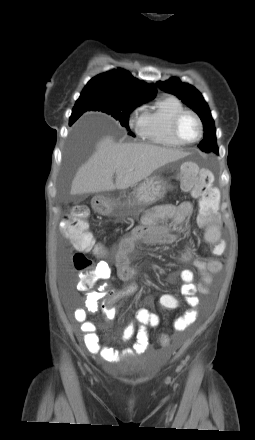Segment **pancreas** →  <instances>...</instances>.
<instances>
[{"instance_id": "pancreas-1", "label": "pancreas", "mask_w": 255, "mask_h": 440, "mask_svg": "<svg viewBox=\"0 0 255 440\" xmlns=\"http://www.w3.org/2000/svg\"><path fill=\"white\" fill-rule=\"evenodd\" d=\"M140 212L144 211L143 209L139 210Z\"/></svg>"}]
</instances>
